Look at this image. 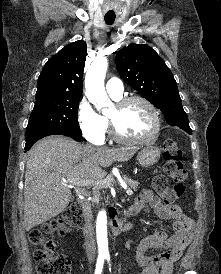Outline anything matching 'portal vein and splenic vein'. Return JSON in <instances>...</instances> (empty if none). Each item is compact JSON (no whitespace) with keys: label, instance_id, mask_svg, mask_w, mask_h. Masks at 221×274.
<instances>
[{"label":"portal vein and splenic vein","instance_id":"18ae733b","mask_svg":"<svg viewBox=\"0 0 221 274\" xmlns=\"http://www.w3.org/2000/svg\"><path fill=\"white\" fill-rule=\"evenodd\" d=\"M68 186H79V187H88V186H109L111 180H92V179H81V178H72L68 180H63ZM128 195H132L133 191L124 187Z\"/></svg>","mask_w":221,"mask_h":274}]
</instances>
